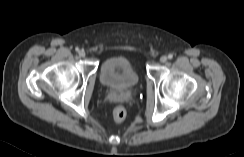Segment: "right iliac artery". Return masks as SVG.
<instances>
[{"mask_svg":"<svg viewBox=\"0 0 244 157\" xmlns=\"http://www.w3.org/2000/svg\"><path fill=\"white\" fill-rule=\"evenodd\" d=\"M75 50L78 52L79 51V48L77 47Z\"/></svg>","mask_w":244,"mask_h":157,"instance_id":"obj_1","label":"right iliac artery"}]
</instances>
